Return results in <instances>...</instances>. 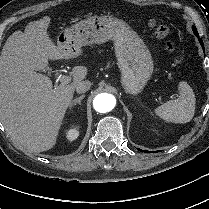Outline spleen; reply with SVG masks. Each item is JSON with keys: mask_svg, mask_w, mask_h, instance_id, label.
<instances>
[{"mask_svg": "<svg viewBox=\"0 0 209 209\" xmlns=\"http://www.w3.org/2000/svg\"><path fill=\"white\" fill-rule=\"evenodd\" d=\"M179 97L169 100L155 109L156 115L167 122L187 123L195 113L196 98L187 82L178 85Z\"/></svg>", "mask_w": 209, "mask_h": 209, "instance_id": "obj_1", "label": "spleen"}]
</instances>
